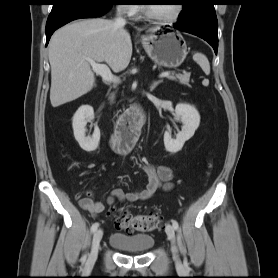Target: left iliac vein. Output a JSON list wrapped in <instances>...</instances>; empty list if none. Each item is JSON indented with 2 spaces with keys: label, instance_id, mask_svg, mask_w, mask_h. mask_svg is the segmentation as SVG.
I'll return each mask as SVG.
<instances>
[{
  "label": "left iliac vein",
  "instance_id": "obj_1",
  "mask_svg": "<svg viewBox=\"0 0 278 278\" xmlns=\"http://www.w3.org/2000/svg\"><path fill=\"white\" fill-rule=\"evenodd\" d=\"M165 232L169 238V240L172 243V253L174 256V259L177 263H179V258H178V253H177V248L175 245V231H174V227L171 224H167L165 227Z\"/></svg>",
  "mask_w": 278,
  "mask_h": 278
}]
</instances>
